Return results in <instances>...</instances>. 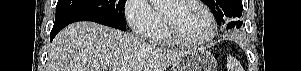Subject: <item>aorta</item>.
<instances>
[{"mask_svg": "<svg viewBox=\"0 0 301 71\" xmlns=\"http://www.w3.org/2000/svg\"><path fill=\"white\" fill-rule=\"evenodd\" d=\"M150 1L155 7L164 6L168 2V0H150Z\"/></svg>", "mask_w": 301, "mask_h": 71, "instance_id": "obj_1", "label": "aorta"}]
</instances>
